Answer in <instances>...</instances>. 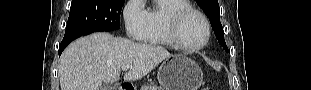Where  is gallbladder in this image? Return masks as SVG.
I'll return each mask as SVG.
<instances>
[{"instance_id": "obj_1", "label": "gallbladder", "mask_w": 311, "mask_h": 90, "mask_svg": "<svg viewBox=\"0 0 311 90\" xmlns=\"http://www.w3.org/2000/svg\"><path fill=\"white\" fill-rule=\"evenodd\" d=\"M101 90H113V86L110 84H103Z\"/></svg>"}]
</instances>
